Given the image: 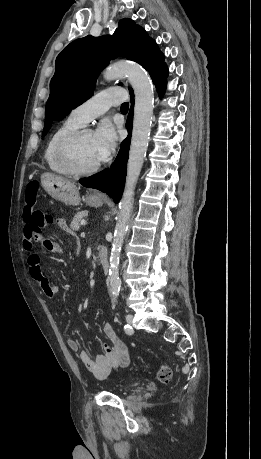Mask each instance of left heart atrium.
Instances as JSON below:
<instances>
[{
	"instance_id": "left-heart-atrium-1",
	"label": "left heart atrium",
	"mask_w": 261,
	"mask_h": 459,
	"mask_svg": "<svg viewBox=\"0 0 261 459\" xmlns=\"http://www.w3.org/2000/svg\"><path fill=\"white\" fill-rule=\"evenodd\" d=\"M93 139L99 162L107 161L117 145L116 129L109 121H104L93 133Z\"/></svg>"
}]
</instances>
